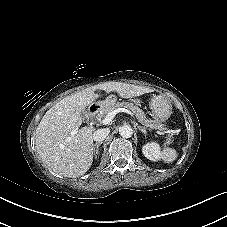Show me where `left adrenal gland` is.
I'll return each instance as SVG.
<instances>
[{
    "label": "left adrenal gland",
    "instance_id": "a2214340",
    "mask_svg": "<svg viewBox=\"0 0 227 227\" xmlns=\"http://www.w3.org/2000/svg\"><path fill=\"white\" fill-rule=\"evenodd\" d=\"M136 126H137V128H138L142 133H144L145 136L147 135V131H146V128H145V127H142V126H140V125H138V124H136Z\"/></svg>",
    "mask_w": 227,
    "mask_h": 227
}]
</instances>
